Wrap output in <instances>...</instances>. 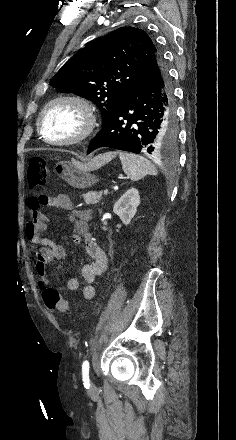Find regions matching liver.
Here are the masks:
<instances>
[{"instance_id":"1","label":"liver","mask_w":236,"mask_h":440,"mask_svg":"<svg viewBox=\"0 0 236 440\" xmlns=\"http://www.w3.org/2000/svg\"><path fill=\"white\" fill-rule=\"evenodd\" d=\"M113 154H104V155H100L98 157H96L95 159H93L90 163L89 166L92 167L93 169H97L99 167H101L102 165H104L106 162H108L110 159H112Z\"/></svg>"}]
</instances>
